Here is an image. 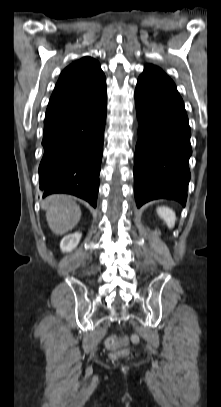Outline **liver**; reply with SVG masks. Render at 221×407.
<instances>
[{
  "mask_svg": "<svg viewBox=\"0 0 221 407\" xmlns=\"http://www.w3.org/2000/svg\"><path fill=\"white\" fill-rule=\"evenodd\" d=\"M42 208L51 231L63 235L72 230L81 218V209L71 196L54 194L47 197Z\"/></svg>",
  "mask_w": 221,
  "mask_h": 407,
  "instance_id": "6515ba94",
  "label": "liver"
}]
</instances>
